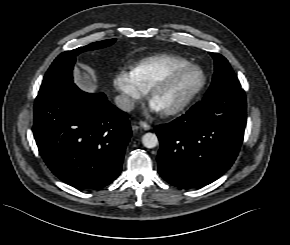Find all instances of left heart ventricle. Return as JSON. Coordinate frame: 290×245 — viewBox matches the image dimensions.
<instances>
[{"label": "left heart ventricle", "mask_w": 290, "mask_h": 245, "mask_svg": "<svg viewBox=\"0 0 290 245\" xmlns=\"http://www.w3.org/2000/svg\"><path fill=\"white\" fill-rule=\"evenodd\" d=\"M200 80L199 72L195 70L187 71L161 87L153 96L152 101L161 110L169 109L187 97L199 84Z\"/></svg>", "instance_id": "b2bd125f"}]
</instances>
